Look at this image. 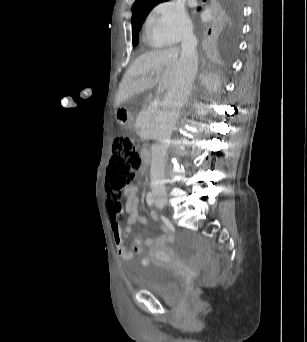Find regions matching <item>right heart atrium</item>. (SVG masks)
Here are the masks:
<instances>
[{
	"label": "right heart atrium",
	"mask_w": 307,
	"mask_h": 342,
	"mask_svg": "<svg viewBox=\"0 0 307 342\" xmlns=\"http://www.w3.org/2000/svg\"><path fill=\"white\" fill-rule=\"evenodd\" d=\"M142 30L156 44L174 46L191 33V25L180 10L166 4L152 11Z\"/></svg>",
	"instance_id": "d8ad5b80"
}]
</instances>
